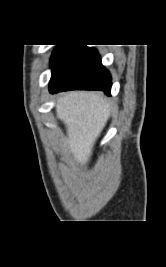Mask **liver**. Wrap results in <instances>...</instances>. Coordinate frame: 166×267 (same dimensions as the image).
Segmentation results:
<instances>
[{"label":"liver","mask_w":166,"mask_h":267,"mask_svg":"<svg viewBox=\"0 0 166 267\" xmlns=\"http://www.w3.org/2000/svg\"><path fill=\"white\" fill-rule=\"evenodd\" d=\"M56 113L66 125L70 152L78 163L85 165L110 116L108 103L99 93L71 91L60 95Z\"/></svg>","instance_id":"liver-1"}]
</instances>
